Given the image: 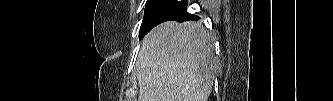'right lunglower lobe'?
<instances>
[{
	"label": "right lung lower lobe",
	"mask_w": 333,
	"mask_h": 101,
	"mask_svg": "<svg viewBox=\"0 0 333 101\" xmlns=\"http://www.w3.org/2000/svg\"><path fill=\"white\" fill-rule=\"evenodd\" d=\"M187 1L153 0L146 4L143 22L140 27V38L156 25L169 20L183 22L197 20L198 17L186 12Z\"/></svg>",
	"instance_id": "1"
}]
</instances>
